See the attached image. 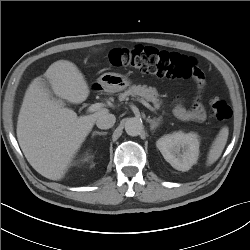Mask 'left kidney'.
I'll list each match as a JSON object with an SVG mask.
<instances>
[{
    "instance_id": "obj_1",
    "label": "left kidney",
    "mask_w": 250,
    "mask_h": 250,
    "mask_svg": "<svg viewBox=\"0 0 250 250\" xmlns=\"http://www.w3.org/2000/svg\"><path fill=\"white\" fill-rule=\"evenodd\" d=\"M164 159L179 171H188L199 156V140L195 133L174 132L156 142Z\"/></svg>"
}]
</instances>
